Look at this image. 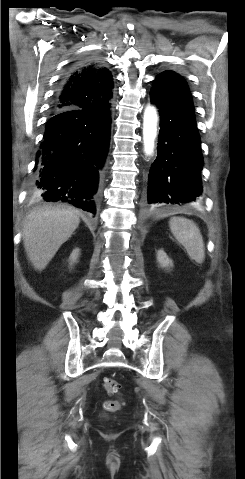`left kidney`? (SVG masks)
<instances>
[{"label":"left kidney","instance_id":"1","mask_svg":"<svg viewBox=\"0 0 245 479\" xmlns=\"http://www.w3.org/2000/svg\"><path fill=\"white\" fill-rule=\"evenodd\" d=\"M157 261L162 268H168L173 266L172 260L167 256L163 250H158Z\"/></svg>","mask_w":245,"mask_h":479}]
</instances>
